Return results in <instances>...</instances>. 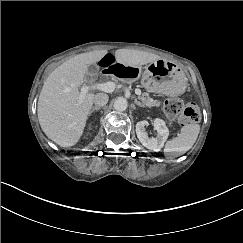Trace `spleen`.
I'll return each instance as SVG.
<instances>
[{"mask_svg":"<svg viewBox=\"0 0 243 243\" xmlns=\"http://www.w3.org/2000/svg\"><path fill=\"white\" fill-rule=\"evenodd\" d=\"M200 132L198 124H188L181 128L178 137L168 141L165 145V153H185L192 148Z\"/></svg>","mask_w":243,"mask_h":243,"instance_id":"3e777b00","label":"spleen"}]
</instances>
